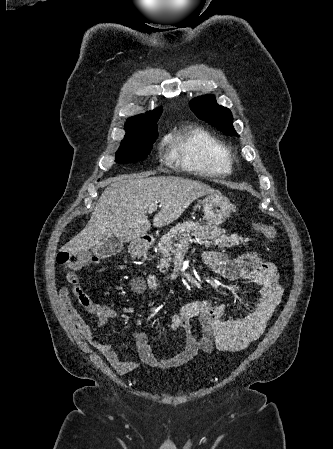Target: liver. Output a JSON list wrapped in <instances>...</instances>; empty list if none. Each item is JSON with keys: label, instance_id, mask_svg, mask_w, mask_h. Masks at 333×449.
<instances>
[{"label": "liver", "instance_id": "obj_1", "mask_svg": "<svg viewBox=\"0 0 333 449\" xmlns=\"http://www.w3.org/2000/svg\"><path fill=\"white\" fill-rule=\"evenodd\" d=\"M110 182L86 227L61 251L87 252L110 237L121 242L140 240L151 227L147 216L150 206H161L153 225L162 227L178 219L194 200L219 193L202 182L180 177L121 175Z\"/></svg>", "mask_w": 333, "mask_h": 449}]
</instances>
